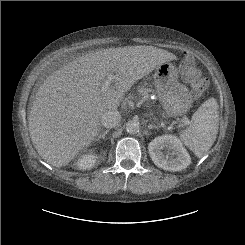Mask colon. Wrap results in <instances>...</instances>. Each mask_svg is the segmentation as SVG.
<instances>
[{
    "label": "colon",
    "mask_w": 245,
    "mask_h": 245,
    "mask_svg": "<svg viewBox=\"0 0 245 245\" xmlns=\"http://www.w3.org/2000/svg\"><path fill=\"white\" fill-rule=\"evenodd\" d=\"M179 68L183 79L189 85L191 96L194 98L201 97L208 89L209 80L203 76L190 53H182Z\"/></svg>",
    "instance_id": "5ec220e1"
}]
</instances>
